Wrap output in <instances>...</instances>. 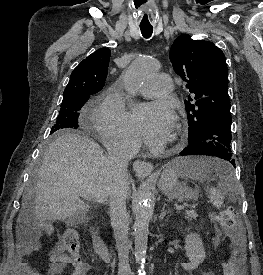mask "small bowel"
<instances>
[{"mask_svg":"<svg viewBox=\"0 0 263 275\" xmlns=\"http://www.w3.org/2000/svg\"><path fill=\"white\" fill-rule=\"evenodd\" d=\"M51 230L48 229L47 233L51 234ZM218 242L217 237H214L213 243L216 244ZM39 240L37 237H34L30 242L22 246V254L23 256L29 255L34 250L39 248ZM68 265L74 266V271L71 275H86L87 265L82 264H74L69 256L64 253V249L61 245H57L50 254V267L48 270L49 275H58L64 271V269ZM19 268L21 275H42L37 270L33 269L29 262L26 259H22L19 263ZM209 275H215L210 272Z\"/></svg>","mask_w":263,"mask_h":275,"instance_id":"1","label":"small bowel"}]
</instances>
